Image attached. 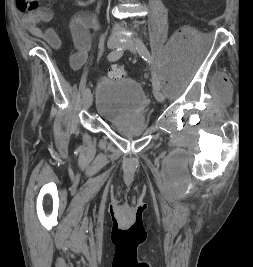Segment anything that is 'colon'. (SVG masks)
I'll use <instances>...</instances> for the list:
<instances>
[{
  "instance_id": "1",
  "label": "colon",
  "mask_w": 253,
  "mask_h": 267,
  "mask_svg": "<svg viewBox=\"0 0 253 267\" xmlns=\"http://www.w3.org/2000/svg\"><path fill=\"white\" fill-rule=\"evenodd\" d=\"M16 6L20 11H36L38 0H16ZM109 75L114 79H121L126 76V68L123 65H112L109 68Z\"/></svg>"
}]
</instances>
